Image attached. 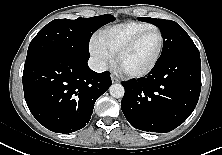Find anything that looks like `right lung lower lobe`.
I'll return each mask as SVG.
<instances>
[{
	"label": "right lung lower lobe",
	"mask_w": 222,
	"mask_h": 155,
	"mask_svg": "<svg viewBox=\"0 0 222 155\" xmlns=\"http://www.w3.org/2000/svg\"><path fill=\"white\" fill-rule=\"evenodd\" d=\"M89 57L56 54L25 65L24 97L36 120L57 133H71L91 119L95 101L111 86L110 73H96Z\"/></svg>",
	"instance_id": "1"
}]
</instances>
